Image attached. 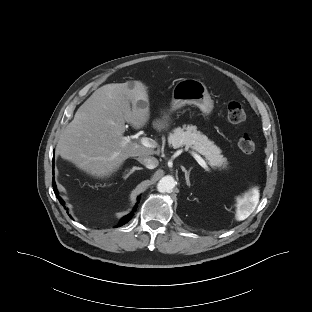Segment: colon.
<instances>
[{
    "label": "colon",
    "instance_id": "colon-1",
    "mask_svg": "<svg viewBox=\"0 0 312 312\" xmlns=\"http://www.w3.org/2000/svg\"><path fill=\"white\" fill-rule=\"evenodd\" d=\"M227 118L233 124L242 123L246 118L243 106L236 101L230 102L227 106ZM240 150L245 154H251L255 150V143L249 134H243L238 140Z\"/></svg>",
    "mask_w": 312,
    "mask_h": 312
}]
</instances>
